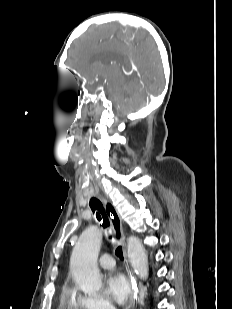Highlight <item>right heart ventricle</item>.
Here are the masks:
<instances>
[{
	"instance_id": "obj_1",
	"label": "right heart ventricle",
	"mask_w": 232,
	"mask_h": 309,
	"mask_svg": "<svg viewBox=\"0 0 232 309\" xmlns=\"http://www.w3.org/2000/svg\"><path fill=\"white\" fill-rule=\"evenodd\" d=\"M63 307H65V309H78L77 305L75 304L74 301H66L63 303Z\"/></svg>"
}]
</instances>
